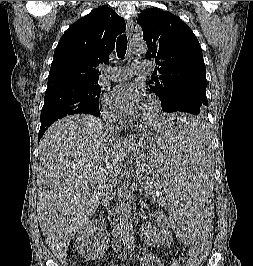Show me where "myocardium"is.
I'll return each mask as SVG.
<instances>
[{
    "label": "myocardium",
    "mask_w": 253,
    "mask_h": 266,
    "mask_svg": "<svg viewBox=\"0 0 253 266\" xmlns=\"http://www.w3.org/2000/svg\"><path fill=\"white\" fill-rule=\"evenodd\" d=\"M148 100L151 104V112L141 120L142 124L151 123L152 121H154L157 118V116L159 115V112H160L159 100L152 95H150L148 97Z\"/></svg>",
    "instance_id": "f54148a6"
}]
</instances>
